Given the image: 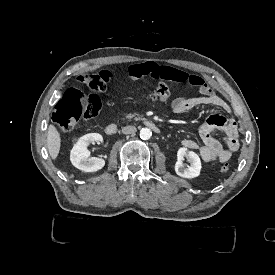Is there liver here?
Segmentation results:
<instances>
[{"label":"liver","mask_w":275,"mask_h":275,"mask_svg":"<svg viewBox=\"0 0 275 275\" xmlns=\"http://www.w3.org/2000/svg\"><path fill=\"white\" fill-rule=\"evenodd\" d=\"M61 145L60 134L54 125H49L47 133V148L52 159H56Z\"/></svg>","instance_id":"liver-1"}]
</instances>
